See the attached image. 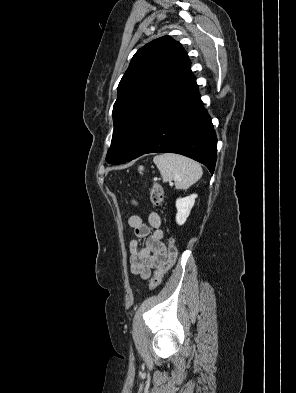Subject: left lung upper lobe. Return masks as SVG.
Listing matches in <instances>:
<instances>
[{
  "label": "left lung upper lobe",
  "instance_id": "left-lung-upper-lobe-1",
  "mask_svg": "<svg viewBox=\"0 0 296 393\" xmlns=\"http://www.w3.org/2000/svg\"><path fill=\"white\" fill-rule=\"evenodd\" d=\"M193 79L185 50L171 37H160L140 48L118 86L106 161L126 162L154 120Z\"/></svg>",
  "mask_w": 296,
  "mask_h": 393
}]
</instances>
